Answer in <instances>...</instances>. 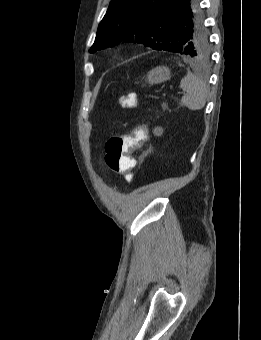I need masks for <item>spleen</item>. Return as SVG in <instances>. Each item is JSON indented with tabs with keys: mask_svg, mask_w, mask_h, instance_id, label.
<instances>
[{
	"mask_svg": "<svg viewBox=\"0 0 261 340\" xmlns=\"http://www.w3.org/2000/svg\"><path fill=\"white\" fill-rule=\"evenodd\" d=\"M180 88L186 92L181 99V104L191 111L201 110L208 97V87L195 74H188L181 80Z\"/></svg>",
	"mask_w": 261,
	"mask_h": 340,
	"instance_id": "spleen-1",
	"label": "spleen"
}]
</instances>
